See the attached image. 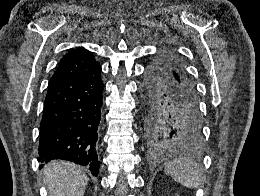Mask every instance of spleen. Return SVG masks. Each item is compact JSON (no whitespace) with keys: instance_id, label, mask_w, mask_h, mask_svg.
I'll return each mask as SVG.
<instances>
[{"instance_id":"obj_1","label":"spleen","mask_w":260,"mask_h":196,"mask_svg":"<svg viewBox=\"0 0 260 196\" xmlns=\"http://www.w3.org/2000/svg\"><path fill=\"white\" fill-rule=\"evenodd\" d=\"M164 170L175 182H179L186 188H198L203 176L198 164L186 158H176L173 162H168Z\"/></svg>"}]
</instances>
